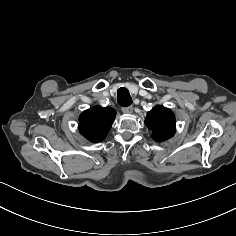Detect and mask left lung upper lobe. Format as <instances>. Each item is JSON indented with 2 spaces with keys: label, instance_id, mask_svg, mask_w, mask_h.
Segmentation results:
<instances>
[{
  "label": "left lung upper lobe",
  "instance_id": "obj_1",
  "mask_svg": "<svg viewBox=\"0 0 236 236\" xmlns=\"http://www.w3.org/2000/svg\"><path fill=\"white\" fill-rule=\"evenodd\" d=\"M145 124L152 131L155 141L162 142L175 134V116L173 112L163 106H155L147 113Z\"/></svg>",
  "mask_w": 236,
  "mask_h": 236
}]
</instances>
